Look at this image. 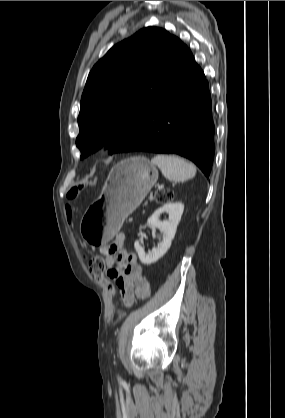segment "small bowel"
Instances as JSON below:
<instances>
[{
    "label": "small bowel",
    "mask_w": 285,
    "mask_h": 418,
    "mask_svg": "<svg viewBox=\"0 0 285 418\" xmlns=\"http://www.w3.org/2000/svg\"><path fill=\"white\" fill-rule=\"evenodd\" d=\"M123 240L124 235L118 234L110 244L101 248V253L106 259L108 276L114 279L122 299L129 302L135 297H146L150 285L137 261V254L120 250ZM114 257L118 265L114 264Z\"/></svg>",
    "instance_id": "small-bowel-1"
}]
</instances>
